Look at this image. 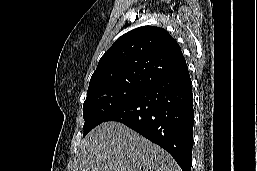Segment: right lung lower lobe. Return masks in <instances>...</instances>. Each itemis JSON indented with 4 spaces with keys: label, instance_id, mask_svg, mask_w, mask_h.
<instances>
[{
    "label": "right lung lower lobe",
    "instance_id": "right-lung-lower-lobe-1",
    "mask_svg": "<svg viewBox=\"0 0 257 171\" xmlns=\"http://www.w3.org/2000/svg\"><path fill=\"white\" fill-rule=\"evenodd\" d=\"M105 121L127 125L168 151L182 171H191L194 110L187 66L146 87Z\"/></svg>",
    "mask_w": 257,
    "mask_h": 171
}]
</instances>
